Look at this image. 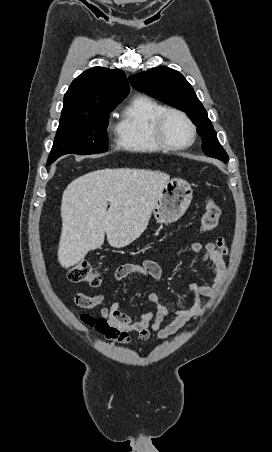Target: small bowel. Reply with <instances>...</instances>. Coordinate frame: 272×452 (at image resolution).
<instances>
[{
    "label": "small bowel",
    "mask_w": 272,
    "mask_h": 452,
    "mask_svg": "<svg viewBox=\"0 0 272 452\" xmlns=\"http://www.w3.org/2000/svg\"><path fill=\"white\" fill-rule=\"evenodd\" d=\"M190 250L199 261L211 263L212 284L191 282L187 285V292L191 296L189 308L171 312L158 293L149 292L147 299L155 308V312L148 310L132 319L120 309L118 303L103 306V294L78 293L75 301L79 307L87 310L99 308L100 312V316L81 314V322L105 336L107 340L123 345L129 343L131 332L138 333L144 340H148L152 333H156L159 339H166L175 334L192 318L202 314L203 298L215 296L226 278V258L229 255V248L222 237L206 244L192 242ZM132 274H141L159 281L162 277V270L154 260L145 259L140 263L120 265L115 271V278L122 281ZM167 319H171V321L162 327Z\"/></svg>",
    "instance_id": "1"
}]
</instances>
